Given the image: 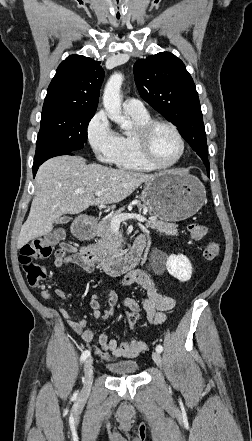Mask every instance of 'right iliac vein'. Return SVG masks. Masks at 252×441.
Segmentation results:
<instances>
[{
	"label": "right iliac vein",
	"mask_w": 252,
	"mask_h": 441,
	"mask_svg": "<svg viewBox=\"0 0 252 441\" xmlns=\"http://www.w3.org/2000/svg\"><path fill=\"white\" fill-rule=\"evenodd\" d=\"M93 381V359L88 358L84 363V386L81 392V398L89 395Z\"/></svg>",
	"instance_id": "obj_1"
}]
</instances>
